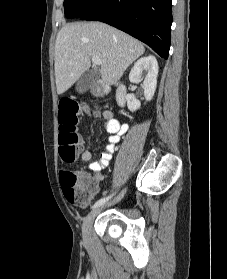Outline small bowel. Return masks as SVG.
I'll return each instance as SVG.
<instances>
[{
  "label": "small bowel",
  "instance_id": "1",
  "mask_svg": "<svg viewBox=\"0 0 227 279\" xmlns=\"http://www.w3.org/2000/svg\"><path fill=\"white\" fill-rule=\"evenodd\" d=\"M103 118L105 120V128L109 133L108 143L106 144L105 149L100 153L99 159L90 162L82 173L86 176H95L98 183L103 179L102 171L108 167L116 149V145L120 141V136L125 134L128 130V125L114 119L109 111L103 112ZM81 146L83 147V145ZM81 159L84 162H89L92 159V152L90 150H83L81 153Z\"/></svg>",
  "mask_w": 227,
  "mask_h": 279
}]
</instances>
